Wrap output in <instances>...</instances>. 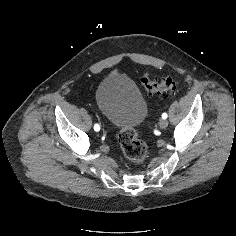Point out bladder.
Listing matches in <instances>:
<instances>
[{
    "label": "bladder",
    "mask_w": 236,
    "mask_h": 236,
    "mask_svg": "<svg viewBox=\"0 0 236 236\" xmlns=\"http://www.w3.org/2000/svg\"><path fill=\"white\" fill-rule=\"evenodd\" d=\"M96 103L118 129L136 128L145 120L148 107L136 85L124 74L105 77L97 86Z\"/></svg>",
    "instance_id": "31cf9c89"
}]
</instances>
